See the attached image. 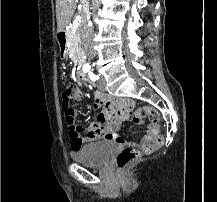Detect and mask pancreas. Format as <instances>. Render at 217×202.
<instances>
[{
    "label": "pancreas",
    "instance_id": "pancreas-1",
    "mask_svg": "<svg viewBox=\"0 0 217 202\" xmlns=\"http://www.w3.org/2000/svg\"><path fill=\"white\" fill-rule=\"evenodd\" d=\"M79 38L77 36V34H73V32H71L70 34V44H71V52H73L74 56H73V60H77L78 56V42Z\"/></svg>",
    "mask_w": 217,
    "mask_h": 202
}]
</instances>
